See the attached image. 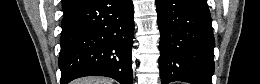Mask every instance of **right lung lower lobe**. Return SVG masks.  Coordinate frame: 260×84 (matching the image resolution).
<instances>
[{"mask_svg":"<svg viewBox=\"0 0 260 84\" xmlns=\"http://www.w3.org/2000/svg\"><path fill=\"white\" fill-rule=\"evenodd\" d=\"M132 0H86L62 20L61 84L83 76H106L133 84Z\"/></svg>","mask_w":260,"mask_h":84,"instance_id":"1","label":"right lung lower lobe"}]
</instances>
